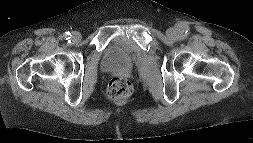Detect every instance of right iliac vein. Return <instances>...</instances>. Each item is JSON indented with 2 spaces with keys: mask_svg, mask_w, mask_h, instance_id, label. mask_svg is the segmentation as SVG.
I'll return each mask as SVG.
<instances>
[{
  "mask_svg": "<svg viewBox=\"0 0 253 143\" xmlns=\"http://www.w3.org/2000/svg\"><path fill=\"white\" fill-rule=\"evenodd\" d=\"M71 38L73 41L78 42L81 40V34L79 32H73Z\"/></svg>",
  "mask_w": 253,
  "mask_h": 143,
  "instance_id": "63e3f726",
  "label": "right iliac vein"
}]
</instances>
